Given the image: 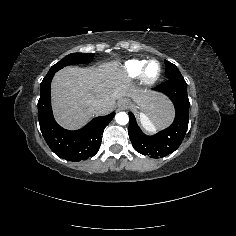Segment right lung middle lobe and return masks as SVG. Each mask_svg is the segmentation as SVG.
<instances>
[{
	"label": "right lung middle lobe",
	"mask_w": 236,
	"mask_h": 236,
	"mask_svg": "<svg viewBox=\"0 0 236 236\" xmlns=\"http://www.w3.org/2000/svg\"><path fill=\"white\" fill-rule=\"evenodd\" d=\"M93 58L94 54L92 53H72L64 57L57 64L53 65L49 72H57L67 65L90 63Z\"/></svg>",
	"instance_id": "1"
}]
</instances>
